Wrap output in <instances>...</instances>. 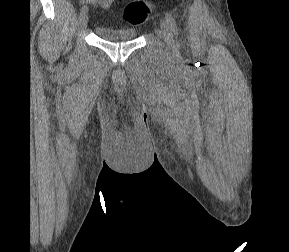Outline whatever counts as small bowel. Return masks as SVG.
Masks as SVG:
<instances>
[{"mask_svg": "<svg viewBox=\"0 0 289 252\" xmlns=\"http://www.w3.org/2000/svg\"><path fill=\"white\" fill-rule=\"evenodd\" d=\"M84 5H98L101 8H108L110 7L115 0H80Z\"/></svg>", "mask_w": 289, "mask_h": 252, "instance_id": "1", "label": "small bowel"}]
</instances>
